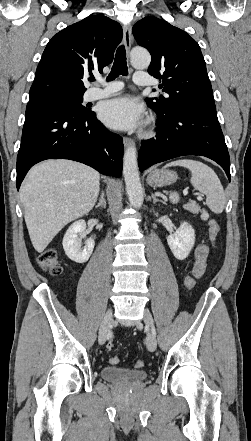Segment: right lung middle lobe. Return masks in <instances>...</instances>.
<instances>
[{
  "label": "right lung middle lobe",
  "mask_w": 251,
  "mask_h": 441,
  "mask_svg": "<svg viewBox=\"0 0 251 441\" xmlns=\"http://www.w3.org/2000/svg\"><path fill=\"white\" fill-rule=\"evenodd\" d=\"M82 101H83V94H79V95L60 94V95L50 96L38 102L57 106L64 110H68L76 114L85 115L88 114L90 110L81 104Z\"/></svg>",
  "instance_id": "right-lung-middle-lobe-1"
}]
</instances>
